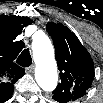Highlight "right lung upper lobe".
Segmentation results:
<instances>
[{
	"instance_id": "cb5924a9",
	"label": "right lung upper lobe",
	"mask_w": 103,
	"mask_h": 103,
	"mask_svg": "<svg viewBox=\"0 0 103 103\" xmlns=\"http://www.w3.org/2000/svg\"><path fill=\"white\" fill-rule=\"evenodd\" d=\"M33 20L20 16H0V95L9 98L14 90L13 83L24 75V69L15 59L24 47L22 41H14L22 29Z\"/></svg>"
}]
</instances>
